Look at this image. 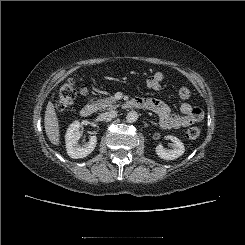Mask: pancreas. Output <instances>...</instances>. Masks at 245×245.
<instances>
[{
	"label": "pancreas",
	"instance_id": "obj_1",
	"mask_svg": "<svg viewBox=\"0 0 245 245\" xmlns=\"http://www.w3.org/2000/svg\"><path fill=\"white\" fill-rule=\"evenodd\" d=\"M94 105L98 110H113L119 106L114 97L99 99L95 102Z\"/></svg>",
	"mask_w": 245,
	"mask_h": 245
}]
</instances>
